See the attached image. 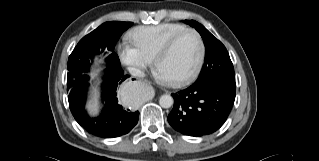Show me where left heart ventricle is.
<instances>
[{
    "instance_id": "left-heart-ventricle-1",
    "label": "left heart ventricle",
    "mask_w": 319,
    "mask_h": 161,
    "mask_svg": "<svg viewBox=\"0 0 319 161\" xmlns=\"http://www.w3.org/2000/svg\"><path fill=\"white\" fill-rule=\"evenodd\" d=\"M198 54L199 46L195 35L186 34L160 62L158 72L166 79L183 76L192 70Z\"/></svg>"
}]
</instances>
